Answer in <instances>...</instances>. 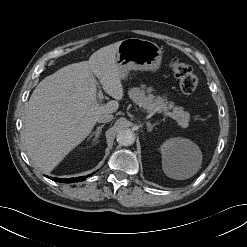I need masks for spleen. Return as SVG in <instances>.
Returning <instances> with one entry per match:
<instances>
[{
	"mask_svg": "<svg viewBox=\"0 0 247 247\" xmlns=\"http://www.w3.org/2000/svg\"><path fill=\"white\" fill-rule=\"evenodd\" d=\"M170 175L172 176V177H175V178H187L188 177V175L187 174H185V173H181V172H170Z\"/></svg>",
	"mask_w": 247,
	"mask_h": 247,
	"instance_id": "1",
	"label": "spleen"
}]
</instances>
